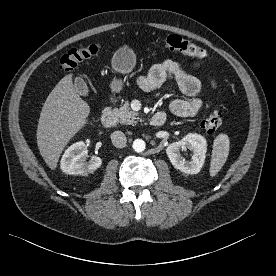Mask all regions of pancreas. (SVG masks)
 I'll list each match as a JSON object with an SVG mask.
<instances>
[{
  "instance_id": "obj_1",
  "label": "pancreas",
  "mask_w": 276,
  "mask_h": 276,
  "mask_svg": "<svg viewBox=\"0 0 276 276\" xmlns=\"http://www.w3.org/2000/svg\"><path fill=\"white\" fill-rule=\"evenodd\" d=\"M114 113L121 124L133 125L139 122L138 113L130 109L129 102H125L119 109L116 108Z\"/></svg>"
}]
</instances>
